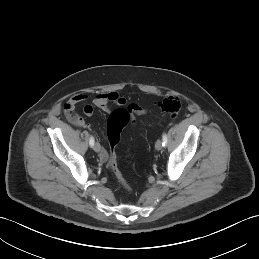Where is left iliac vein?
I'll return each instance as SVG.
<instances>
[{"mask_svg": "<svg viewBox=\"0 0 259 259\" xmlns=\"http://www.w3.org/2000/svg\"><path fill=\"white\" fill-rule=\"evenodd\" d=\"M155 148H156V150H161L162 149V141L161 140H157L156 141Z\"/></svg>", "mask_w": 259, "mask_h": 259, "instance_id": "obj_1", "label": "left iliac vein"}]
</instances>
